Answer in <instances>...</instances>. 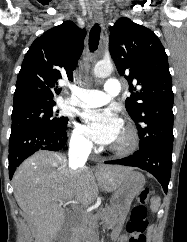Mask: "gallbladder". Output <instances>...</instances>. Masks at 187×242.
<instances>
[{
    "label": "gallbladder",
    "mask_w": 187,
    "mask_h": 242,
    "mask_svg": "<svg viewBox=\"0 0 187 242\" xmlns=\"http://www.w3.org/2000/svg\"><path fill=\"white\" fill-rule=\"evenodd\" d=\"M73 218L74 216L72 213L66 214L64 224L58 232V234L56 235V237L54 238L53 242H68L70 236L69 229L72 224Z\"/></svg>",
    "instance_id": "obj_1"
}]
</instances>
